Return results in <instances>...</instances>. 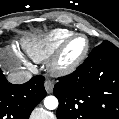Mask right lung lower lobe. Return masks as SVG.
<instances>
[{
    "mask_svg": "<svg viewBox=\"0 0 119 119\" xmlns=\"http://www.w3.org/2000/svg\"><path fill=\"white\" fill-rule=\"evenodd\" d=\"M46 96L44 77L37 75L22 85L8 83L0 70V119H29Z\"/></svg>",
    "mask_w": 119,
    "mask_h": 119,
    "instance_id": "98d812e1",
    "label": "right lung lower lobe"
}]
</instances>
